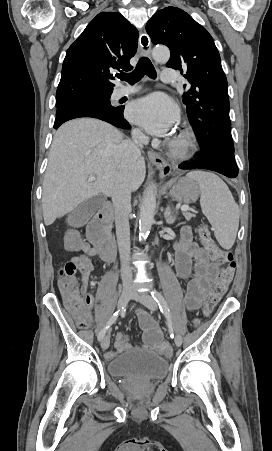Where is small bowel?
Instances as JSON below:
<instances>
[{"label":"small bowel","instance_id":"small-bowel-1","mask_svg":"<svg viewBox=\"0 0 272 451\" xmlns=\"http://www.w3.org/2000/svg\"><path fill=\"white\" fill-rule=\"evenodd\" d=\"M73 250L79 251L77 256H82L84 261H92V258L98 253L97 249L88 242H83L82 249ZM173 266L180 279L187 282L185 292L186 308L188 310L197 309L201 297L207 292L211 282L210 270L217 269L219 264L217 263V258H214L205 247H201L193 241L192 231L189 226H183L180 230L179 239L174 246ZM90 276L91 274H82V283L84 285L88 283ZM71 311L75 317L80 314L76 310ZM83 314L90 318V313ZM140 325L144 331L142 347L145 349L155 348L162 341L160 329L152 319L143 313L140 315ZM130 347L128 337L122 333H117L115 335L114 350L107 352L105 357L111 360Z\"/></svg>","mask_w":272,"mask_h":451}]
</instances>
